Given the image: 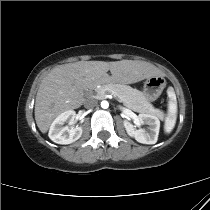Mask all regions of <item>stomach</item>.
I'll list each match as a JSON object with an SVG mask.
<instances>
[{
    "mask_svg": "<svg viewBox=\"0 0 210 210\" xmlns=\"http://www.w3.org/2000/svg\"><path fill=\"white\" fill-rule=\"evenodd\" d=\"M165 86L166 81L162 76H153L144 82L143 93L148 101H154L161 95Z\"/></svg>",
    "mask_w": 210,
    "mask_h": 210,
    "instance_id": "1",
    "label": "stomach"
}]
</instances>
